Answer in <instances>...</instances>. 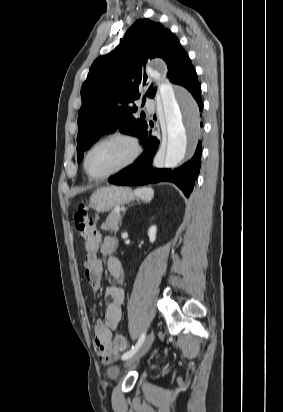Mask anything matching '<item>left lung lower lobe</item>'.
<instances>
[{"mask_svg":"<svg viewBox=\"0 0 283 412\" xmlns=\"http://www.w3.org/2000/svg\"><path fill=\"white\" fill-rule=\"evenodd\" d=\"M176 84L188 89L198 103L201 111L203 109L201 87L195 69H192L183 78H180ZM138 137L142 141L144 152L133 165L110 177L108 179L109 182L115 185H145L158 182H171L176 184L186 197H189L200 170L201 142L199 141L192 159L184 163L181 167L174 170L153 169L151 164L158 149L159 140L151 135L150 126H147Z\"/></svg>","mask_w":283,"mask_h":412,"instance_id":"0a47b994","label":"left lung lower lobe"}]
</instances>
